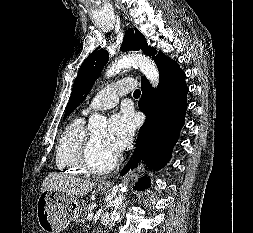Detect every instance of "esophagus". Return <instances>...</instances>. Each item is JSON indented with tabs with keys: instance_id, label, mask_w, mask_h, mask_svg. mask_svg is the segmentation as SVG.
<instances>
[{
	"instance_id": "34e87169",
	"label": "esophagus",
	"mask_w": 253,
	"mask_h": 233,
	"mask_svg": "<svg viewBox=\"0 0 253 233\" xmlns=\"http://www.w3.org/2000/svg\"><path fill=\"white\" fill-rule=\"evenodd\" d=\"M102 185H103V186L109 187V186H111L112 184H111L110 182H108V181H104V182H102Z\"/></svg>"
}]
</instances>
